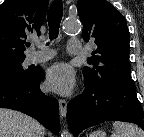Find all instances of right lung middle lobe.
<instances>
[{
  "mask_svg": "<svg viewBox=\"0 0 144 137\" xmlns=\"http://www.w3.org/2000/svg\"><path fill=\"white\" fill-rule=\"evenodd\" d=\"M16 62L4 68H0V82L2 81H25L30 79L35 70H24L21 63Z\"/></svg>",
  "mask_w": 144,
  "mask_h": 137,
  "instance_id": "obj_1",
  "label": "right lung middle lobe"
}]
</instances>
